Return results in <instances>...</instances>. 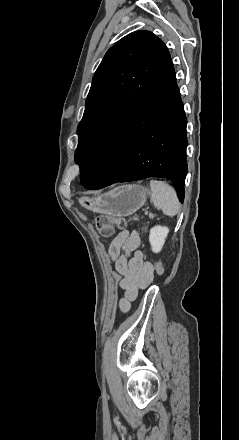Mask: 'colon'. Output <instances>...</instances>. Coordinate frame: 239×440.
Instances as JSON below:
<instances>
[{"label": "colon", "mask_w": 239, "mask_h": 440, "mask_svg": "<svg viewBox=\"0 0 239 440\" xmlns=\"http://www.w3.org/2000/svg\"><path fill=\"white\" fill-rule=\"evenodd\" d=\"M126 219L120 216H103L96 219V228L98 232L105 236H111L114 228L123 229L126 226ZM154 270L157 274H162L164 267L161 262H156Z\"/></svg>", "instance_id": "1"}]
</instances>
